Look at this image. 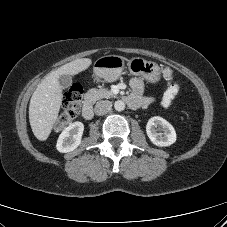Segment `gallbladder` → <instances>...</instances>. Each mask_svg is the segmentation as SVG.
<instances>
[{"mask_svg":"<svg viewBox=\"0 0 227 227\" xmlns=\"http://www.w3.org/2000/svg\"><path fill=\"white\" fill-rule=\"evenodd\" d=\"M59 83L63 89L68 88L72 83V78L70 75H61L59 77Z\"/></svg>","mask_w":227,"mask_h":227,"instance_id":"bac80fb5","label":"gallbladder"}]
</instances>
